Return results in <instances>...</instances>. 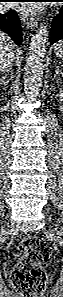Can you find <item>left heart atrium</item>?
Returning <instances> with one entry per match:
<instances>
[{
    "label": "left heart atrium",
    "instance_id": "obj_1",
    "mask_svg": "<svg viewBox=\"0 0 63 297\" xmlns=\"http://www.w3.org/2000/svg\"><path fill=\"white\" fill-rule=\"evenodd\" d=\"M20 8L23 12L29 13V14H33L37 12V10L39 9L38 5L32 4V3L23 4Z\"/></svg>",
    "mask_w": 63,
    "mask_h": 297
}]
</instances>
